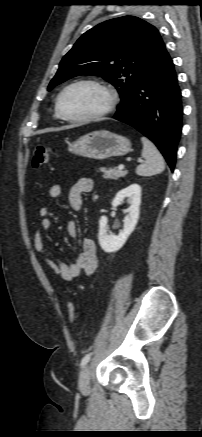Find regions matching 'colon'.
Returning a JSON list of instances; mask_svg holds the SVG:
<instances>
[{"label":"colon","instance_id":"1","mask_svg":"<svg viewBox=\"0 0 202 437\" xmlns=\"http://www.w3.org/2000/svg\"><path fill=\"white\" fill-rule=\"evenodd\" d=\"M51 150L44 146H36L32 156V166L38 168L49 162ZM77 310L73 302L68 303V318L70 322L76 320Z\"/></svg>","mask_w":202,"mask_h":437}]
</instances>
